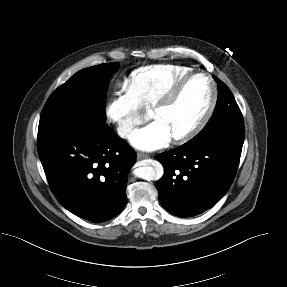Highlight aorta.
I'll return each mask as SVG.
<instances>
[{
	"label": "aorta",
	"mask_w": 287,
	"mask_h": 287,
	"mask_svg": "<svg viewBox=\"0 0 287 287\" xmlns=\"http://www.w3.org/2000/svg\"><path fill=\"white\" fill-rule=\"evenodd\" d=\"M135 176L147 181L158 180L164 174L163 166L160 163L155 165H144L134 170Z\"/></svg>",
	"instance_id": "762f6f07"
}]
</instances>
